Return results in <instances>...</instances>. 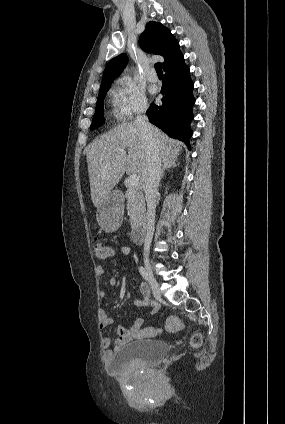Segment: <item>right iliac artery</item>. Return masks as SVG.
<instances>
[{
	"instance_id": "right-iliac-artery-1",
	"label": "right iliac artery",
	"mask_w": 285,
	"mask_h": 424,
	"mask_svg": "<svg viewBox=\"0 0 285 424\" xmlns=\"http://www.w3.org/2000/svg\"><path fill=\"white\" fill-rule=\"evenodd\" d=\"M139 272H140V274L142 275V277L146 280V281H148V274H147V271H146V269L144 268V267H140L139 268Z\"/></svg>"
}]
</instances>
